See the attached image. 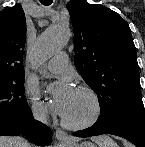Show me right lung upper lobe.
I'll use <instances>...</instances> for the list:
<instances>
[{
    "instance_id": "obj_1",
    "label": "right lung upper lobe",
    "mask_w": 145,
    "mask_h": 147,
    "mask_svg": "<svg viewBox=\"0 0 145 147\" xmlns=\"http://www.w3.org/2000/svg\"><path fill=\"white\" fill-rule=\"evenodd\" d=\"M26 19L20 4L0 12V81L24 75Z\"/></svg>"
}]
</instances>
